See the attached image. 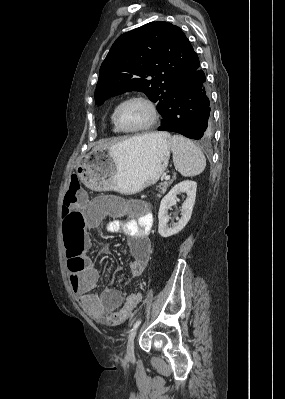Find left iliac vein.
Returning a JSON list of instances; mask_svg holds the SVG:
<instances>
[{
    "label": "left iliac vein",
    "mask_w": 285,
    "mask_h": 399,
    "mask_svg": "<svg viewBox=\"0 0 285 399\" xmlns=\"http://www.w3.org/2000/svg\"><path fill=\"white\" fill-rule=\"evenodd\" d=\"M137 334V328L132 330L128 337L127 343V358L131 359L134 356V338Z\"/></svg>",
    "instance_id": "left-iliac-vein-1"
}]
</instances>
